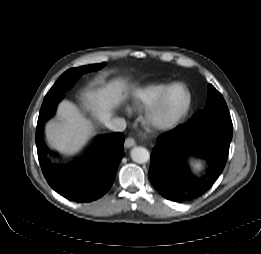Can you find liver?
<instances>
[{"mask_svg":"<svg viewBox=\"0 0 261 254\" xmlns=\"http://www.w3.org/2000/svg\"><path fill=\"white\" fill-rule=\"evenodd\" d=\"M132 89L133 86L125 79H117L104 87L84 91L82 99L93 118L105 123L111 119L114 110L128 100ZM45 133L53 148L74 154L95 134V127L73 103L62 101L58 106L57 119L47 123Z\"/></svg>","mask_w":261,"mask_h":254,"instance_id":"obj_1","label":"liver"}]
</instances>
